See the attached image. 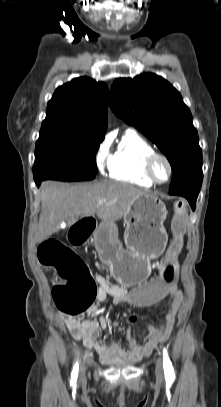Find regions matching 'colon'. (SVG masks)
Segmentation results:
<instances>
[{
  "instance_id": "obj_1",
  "label": "colon",
  "mask_w": 221,
  "mask_h": 407,
  "mask_svg": "<svg viewBox=\"0 0 221 407\" xmlns=\"http://www.w3.org/2000/svg\"><path fill=\"white\" fill-rule=\"evenodd\" d=\"M95 222V216H77L73 225L68 226L69 246H84V239H94ZM186 225V203L178 200L171 222L173 238L161 261V271L157 277H148L147 283H131V287L125 289L127 294L132 292L129 303L139 311L160 306L161 300L166 299V292H174L179 284L178 256L183 248ZM38 259L42 265L57 270L60 283L53 287L52 296L61 312L78 316L89 309L96 298L97 286L88 266L72 249L59 240L48 239L39 246Z\"/></svg>"
}]
</instances>
